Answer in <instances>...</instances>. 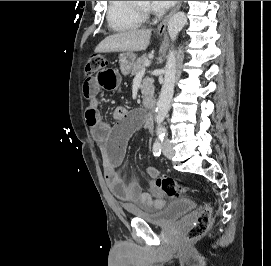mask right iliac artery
Here are the masks:
<instances>
[{
    "instance_id": "obj_1",
    "label": "right iliac artery",
    "mask_w": 271,
    "mask_h": 266,
    "mask_svg": "<svg viewBox=\"0 0 271 266\" xmlns=\"http://www.w3.org/2000/svg\"><path fill=\"white\" fill-rule=\"evenodd\" d=\"M162 151V144L160 142H155L153 145V153L155 156H160Z\"/></svg>"
}]
</instances>
